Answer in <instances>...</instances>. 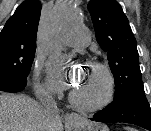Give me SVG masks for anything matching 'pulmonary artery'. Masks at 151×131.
Wrapping results in <instances>:
<instances>
[{"label": "pulmonary artery", "instance_id": "pulmonary-artery-1", "mask_svg": "<svg viewBox=\"0 0 151 131\" xmlns=\"http://www.w3.org/2000/svg\"><path fill=\"white\" fill-rule=\"evenodd\" d=\"M91 41V36L86 28L78 27L69 35L68 43L75 47H86Z\"/></svg>", "mask_w": 151, "mask_h": 131}]
</instances>
